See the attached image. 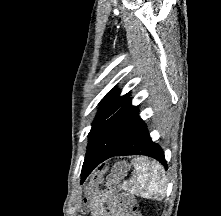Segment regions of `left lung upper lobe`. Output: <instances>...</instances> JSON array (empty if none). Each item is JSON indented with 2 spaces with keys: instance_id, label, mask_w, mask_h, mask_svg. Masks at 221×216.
I'll return each instance as SVG.
<instances>
[{
  "instance_id": "obj_1",
  "label": "left lung upper lobe",
  "mask_w": 221,
  "mask_h": 216,
  "mask_svg": "<svg viewBox=\"0 0 221 216\" xmlns=\"http://www.w3.org/2000/svg\"><path fill=\"white\" fill-rule=\"evenodd\" d=\"M129 94L119 96L111 90L103 98L89 133L88 150L107 146L119 151L139 131L144 122L139 117L138 107L132 106Z\"/></svg>"
}]
</instances>
